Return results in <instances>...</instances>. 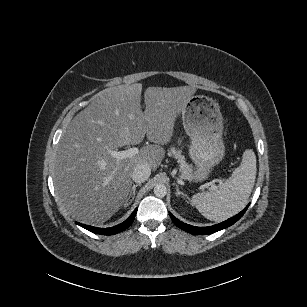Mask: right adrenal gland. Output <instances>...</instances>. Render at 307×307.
Here are the masks:
<instances>
[{
    "label": "right adrenal gland",
    "instance_id": "2a0ac1e0",
    "mask_svg": "<svg viewBox=\"0 0 307 307\" xmlns=\"http://www.w3.org/2000/svg\"><path fill=\"white\" fill-rule=\"evenodd\" d=\"M138 186H141V183L133 184V185L131 186V188H130V190H129V194H128V196H127V200L130 199V196H131L132 192H133L132 200L135 199V196H136V187H138ZM127 200L125 201L124 206H127V205H128V204H127Z\"/></svg>",
    "mask_w": 307,
    "mask_h": 307
}]
</instances>
